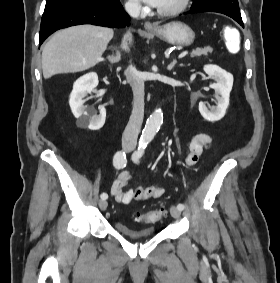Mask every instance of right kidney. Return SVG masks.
<instances>
[{"mask_svg": "<svg viewBox=\"0 0 280 283\" xmlns=\"http://www.w3.org/2000/svg\"><path fill=\"white\" fill-rule=\"evenodd\" d=\"M97 85V74L94 72L87 73L76 80L69 99L71 111L77 118V125L81 128H88L93 131L101 129L106 119L105 107H100V114L97 115L93 108L84 106V98L90 94Z\"/></svg>", "mask_w": 280, "mask_h": 283, "instance_id": "ca27d5eb", "label": "right kidney"}]
</instances>
